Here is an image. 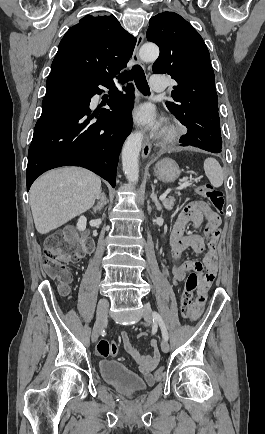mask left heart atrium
I'll return each instance as SVG.
<instances>
[{
    "label": "left heart atrium",
    "mask_w": 265,
    "mask_h": 434,
    "mask_svg": "<svg viewBox=\"0 0 265 434\" xmlns=\"http://www.w3.org/2000/svg\"><path fill=\"white\" fill-rule=\"evenodd\" d=\"M134 119L141 124H153L155 119L154 110L148 105H141L133 112Z\"/></svg>",
    "instance_id": "1"
}]
</instances>
